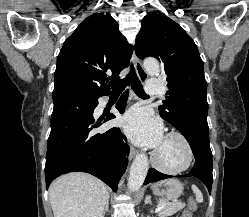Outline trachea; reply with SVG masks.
I'll list each match as a JSON object with an SVG mask.
<instances>
[{"label": "trachea", "mask_w": 249, "mask_h": 217, "mask_svg": "<svg viewBox=\"0 0 249 217\" xmlns=\"http://www.w3.org/2000/svg\"><path fill=\"white\" fill-rule=\"evenodd\" d=\"M132 84L133 90L139 97H148L144 92L142 84L137 77L133 66L131 65V69L129 74L120 82L112 84V94H121L124 88L128 85Z\"/></svg>", "instance_id": "1"}]
</instances>
